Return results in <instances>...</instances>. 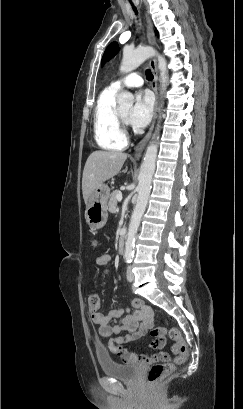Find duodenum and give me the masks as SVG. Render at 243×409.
Masks as SVG:
<instances>
[{
  "instance_id": "obj_1",
  "label": "duodenum",
  "mask_w": 243,
  "mask_h": 409,
  "mask_svg": "<svg viewBox=\"0 0 243 409\" xmlns=\"http://www.w3.org/2000/svg\"><path fill=\"white\" fill-rule=\"evenodd\" d=\"M125 248H126V231H124L120 237L118 250L121 254H123L125 252Z\"/></svg>"
}]
</instances>
